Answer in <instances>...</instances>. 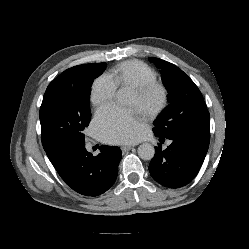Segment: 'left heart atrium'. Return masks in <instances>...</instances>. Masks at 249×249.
Masks as SVG:
<instances>
[{
	"mask_svg": "<svg viewBox=\"0 0 249 249\" xmlns=\"http://www.w3.org/2000/svg\"><path fill=\"white\" fill-rule=\"evenodd\" d=\"M94 127L102 141L113 144L136 142L143 135V121L139 113L113 104L96 112Z\"/></svg>",
	"mask_w": 249,
	"mask_h": 249,
	"instance_id": "obj_1",
	"label": "left heart atrium"
}]
</instances>
